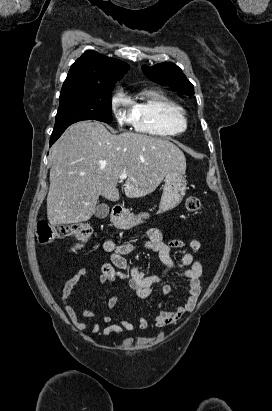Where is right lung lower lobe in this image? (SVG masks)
Listing matches in <instances>:
<instances>
[{
	"mask_svg": "<svg viewBox=\"0 0 272 411\" xmlns=\"http://www.w3.org/2000/svg\"><path fill=\"white\" fill-rule=\"evenodd\" d=\"M58 138H59V137L51 138V140H50V146H51Z\"/></svg>",
	"mask_w": 272,
	"mask_h": 411,
	"instance_id": "1",
	"label": "right lung lower lobe"
}]
</instances>
